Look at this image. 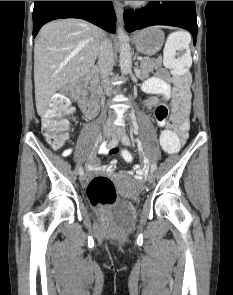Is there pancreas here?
<instances>
[{
  "label": "pancreas",
  "instance_id": "obj_1",
  "mask_svg": "<svg viewBox=\"0 0 233 295\" xmlns=\"http://www.w3.org/2000/svg\"><path fill=\"white\" fill-rule=\"evenodd\" d=\"M161 66V60H142L140 64L141 79L149 77V74L153 72L154 69H158Z\"/></svg>",
  "mask_w": 233,
  "mask_h": 295
}]
</instances>
